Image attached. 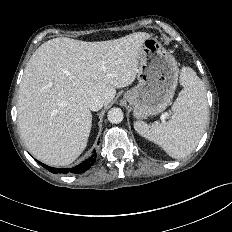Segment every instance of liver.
<instances>
[{
	"label": "liver",
	"mask_w": 232,
	"mask_h": 232,
	"mask_svg": "<svg viewBox=\"0 0 232 232\" xmlns=\"http://www.w3.org/2000/svg\"><path fill=\"white\" fill-rule=\"evenodd\" d=\"M145 32L85 42L58 37L43 43L24 71L18 96V126L25 146L51 166L72 163L87 146L92 126L88 100L107 106L116 88L137 75Z\"/></svg>",
	"instance_id": "1"
}]
</instances>
